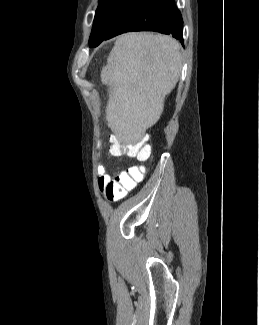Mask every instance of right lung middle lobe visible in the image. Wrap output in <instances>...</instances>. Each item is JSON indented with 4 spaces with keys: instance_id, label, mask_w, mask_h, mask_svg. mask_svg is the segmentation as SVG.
<instances>
[{
    "instance_id": "dd1d6c3e",
    "label": "right lung middle lobe",
    "mask_w": 259,
    "mask_h": 325,
    "mask_svg": "<svg viewBox=\"0 0 259 325\" xmlns=\"http://www.w3.org/2000/svg\"><path fill=\"white\" fill-rule=\"evenodd\" d=\"M132 1L99 0L89 39L90 47L98 46L106 38L118 18Z\"/></svg>"
}]
</instances>
